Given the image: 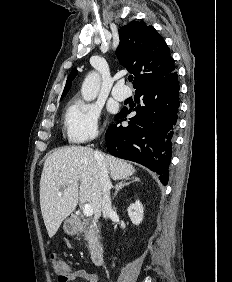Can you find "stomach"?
<instances>
[{
	"mask_svg": "<svg viewBox=\"0 0 232 282\" xmlns=\"http://www.w3.org/2000/svg\"><path fill=\"white\" fill-rule=\"evenodd\" d=\"M63 229L68 235H74L79 230V224L73 217H71L64 221Z\"/></svg>",
	"mask_w": 232,
	"mask_h": 282,
	"instance_id": "obj_1",
	"label": "stomach"
}]
</instances>
